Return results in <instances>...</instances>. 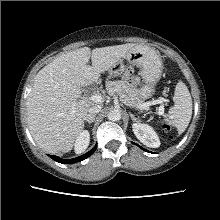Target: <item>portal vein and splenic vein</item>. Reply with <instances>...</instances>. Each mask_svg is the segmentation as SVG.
<instances>
[{
    "label": "portal vein and splenic vein",
    "mask_w": 220,
    "mask_h": 220,
    "mask_svg": "<svg viewBox=\"0 0 220 220\" xmlns=\"http://www.w3.org/2000/svg\"><path fill=\"white\" fill-rule=\"evenodd\" d=\"M89 99H90L91 101H93V102L99 103V102H102V99H103V98H102V96L99 95V94H94V95H91ZM156 103H160V104H161V106H160V108H159V113L162 114V113L164 112V106H163V101H162V100H156V101L146 102V103H144L142 106H140L139 108H140V109H146V108H148L149 106L154 105V104H156Z\"/></svg>",
    "instance_id": "18ae733b"
}]
</instances>
